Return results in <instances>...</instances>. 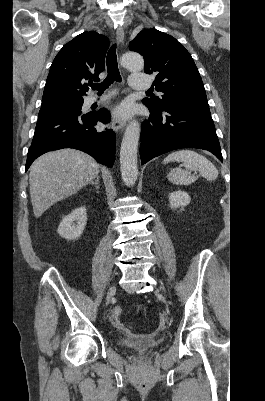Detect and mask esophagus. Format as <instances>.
Returning a JSON list of instances; mask_svg holds the SVG:
<instances>
[{"label": "esophagus", "instance_id": "1", "mask_svg": "<svg viewBox=\"0 0 265 401\" xmlns=\"http://www.w3.org/2000/svg\"><path fill=\"white\" fill-rule=\"evenodd\" d=\"M116 37H117V41H118L119 45L122 46L124 44V30L122 27L117 28ZM111 127L113 128V130L121 131V130H124V128L126 127V122H125V120H123L121 118H115L112 121Z\"/></svg>", "mask_w": 265, "mask_h": 401}]
</instances>
